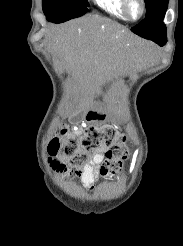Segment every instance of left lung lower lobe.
<instances>
[{
    "label": "left lung lower lobe",
    "mask_w": 183,
    "mask_h": 246,
    "mask_svg": "<svg viewBox=\"0 0 183 246\" xmlns=\"http://www.w3.org/2000/svg\"><path fill=\"white\" fill-rule=\"evenodd\" d=\"M150 40L154 41L155 43H157L160 46H164L166 44V42H167L166 36L154 37V38H152Z\"/></svg>",
    "instance_id": "0a47b994"
}]
</instances>
